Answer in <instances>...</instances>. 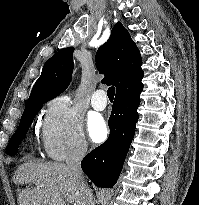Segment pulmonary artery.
I'll return each instance as SVG.
<instances>
[{
	"label": "pulmonary artery",
	"mask_w": 199,
	"mask_h": 205,
	"mask_svg": "<svg viewBox=\"0 0 199 205\" xmlns=\"http://www.w3.org/2000/svg\"><path fill=\"white\" fill-rule=\"evenodd\" d=\"M91 105L97 111H102L107 106V98L102 89L96 90L91 98Z\"/></svg>",
	"instance_id": "e3ab8cb5"
}]
</instances>
